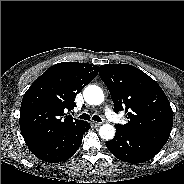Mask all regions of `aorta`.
Returning <instances> with one entry per match:
<instances>
[{"label":"aorta","instance_id":"1","mask_svg":"<svg viewBox=\"0 0 184 184\" xmlns=\"http://www.w3.org/2000/svg\"><path fill=\"white\" fill-rule=\"evenodd\" d=\"M85 101L90 105H100L104 101V93L102 89L96 85H89L83 92ZM99 135L105 140H110L115 136V128L110 124L100 127Z\"/></svg>","mask_w":184,"mask_h":184}]
</instances>
